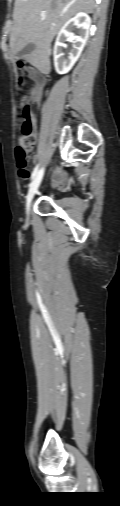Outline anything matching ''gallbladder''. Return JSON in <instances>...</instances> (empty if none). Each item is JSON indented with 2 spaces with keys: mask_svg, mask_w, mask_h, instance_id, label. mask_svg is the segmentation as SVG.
Masks as SVG:
<instances>
[{
  "mask_svg": "<svg viewBox=\"0 0 120 506\" xmlns=\"http://www.w3.org/2000/svg\"><path fill=\"white\" fill-rule=\"evenodd\" d=\"M35 50V45L33 43L27 44L23 50L21 51V55L24 57L25 55L31 54Z\"/></svg>",
  "mask_w": 120,
  "mask_h": 506,
  "instance_id": "bac80fb5",
  "label": "gallbladder"
}]
</instances>
